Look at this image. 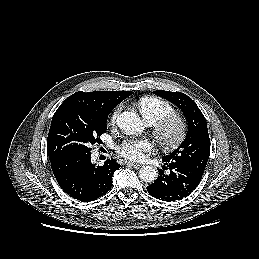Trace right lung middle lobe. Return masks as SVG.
<instances>
[{"label":"right lung middle lobe","mask_w":259,"mask_h":259,"mask_svg":"<svg viewBox=\"0 0 259 259\" xmlns=\"http://www.w3.org/2000/svg\"><path fill=\"white\" fill-rule=\"evenodd\" d=\"M109 113L79 104H61L55 112L47 139L49 160L72 153H90V146L101 143Z\"/></svg>","instance_id":"obj_1"}]
</instances>
